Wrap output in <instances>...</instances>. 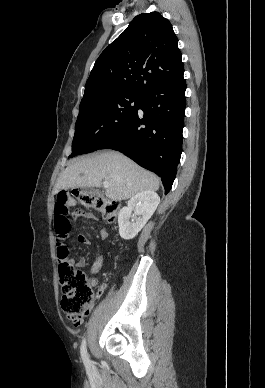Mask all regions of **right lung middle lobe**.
<instances>
[{
  "instance_id": "1",
  "label": "right lung middle lobe",
  "mask_w": 265,
  "mask_h": 388,
  "mask_svg": "<svg viewBox=\"0 0 265 388\" xmlns=\"http://www.w3.org/2000/svg\"><path fill=\"white\" fill-rule=\"evenodd\" d=\"M142 95L102 90L84 97L75 125L72 154L93 152L137 109Z\"/></svg>"
}]
</instances>
